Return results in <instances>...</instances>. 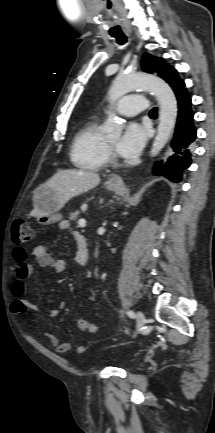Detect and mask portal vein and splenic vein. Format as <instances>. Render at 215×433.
Masks as SVG:
<instances>
[{"mask_svg": "<svg viewBox=\"0 0 215 433\" xmlns=\"http://www.w3.org/2000/svg\"><path fill=\"white\" fill-rule=\"evenodd\" d=\"M78 224L80 227H85L86 226V220L85 219H79Z\"/></svg>", "mask_w": 215, "mask_h": 433, "instance_id": "portal-vein-and-splenic-vein-1", "label": "portal vein and splenic vein"}]
</instances>
